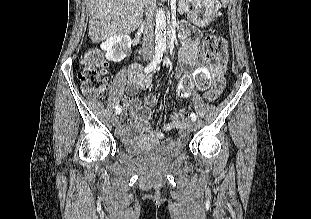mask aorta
Here are the masks:
<instances>
[{
	"mask_svg": "<svg viewBox=\"0 0 311 219\" xmlns=\"http://www.w3.org/2000/svg\"><path fill=\"white\" fill-rule=\"evenodd\" d=\"M155 46L157 49H166V18L162 8L156 12Z\"/></svg>",
	"mask_w": 311,
	"mask_h": 219,
	"instance_id": "aorta-1",
	"label": "aorta"
}]
</instances>
